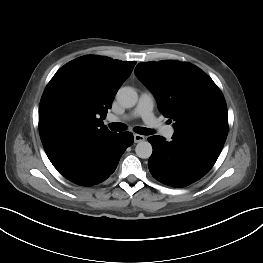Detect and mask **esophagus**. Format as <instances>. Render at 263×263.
Masks as SVG:
<instances>
[{"instance_id": "esophagus-1", "label": "esophagus", "mask_w": 263, "mask_h": 263, "mask_svg": "<svg viewBox=\"0 0 263 263\" xmlns=\"http://www.w3.org/2000/svg\"><path fill=\"white\" fill-rule=\"evenodd\" d=\"M144 140H145V137L143 135L134 134V142L135 143L142 142Z\"/></svg>"}]
</instances>
